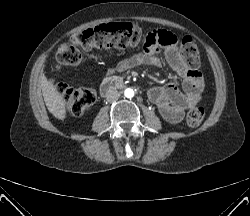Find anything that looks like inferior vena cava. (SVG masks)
I'll list each match as a JSON object with an SVG mask.
<instances>
[{
    "label": "inferior vena cava",
    "mask_w": 250,
    "mask_h": 216,
    "mask_svg": "<svg viewBox=\"0 0 250 216\" xmlns=\"http://www.w3.org/2000/svg\"><path fill=\"white\" fill-rule=\"evenodd\" d=\"M120 93L117 90H110L107 93V101L108 102H115L119 99Z\"/></svg>",
    "instance_id": "obj_1"
}]
</instances>
